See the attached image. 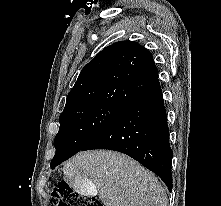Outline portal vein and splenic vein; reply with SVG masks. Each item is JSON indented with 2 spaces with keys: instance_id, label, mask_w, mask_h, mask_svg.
Wrapping results in <instances>:
<instances>
[{
  "instance_id": "1",
  "label": "portal vein and splenic vein",
  "mask_w": 221,
  "mask_h": 206,
  "mask_svg": "<svg viewBox=\"0 0 221 206\" xmlns=\"http://www.w3.org/2000/svg\"><path fill=\"white\" fill-rule=\"evenodd\" d=\"M94 191V187H91V192Z\"/></svg>"
}]
</instances>
